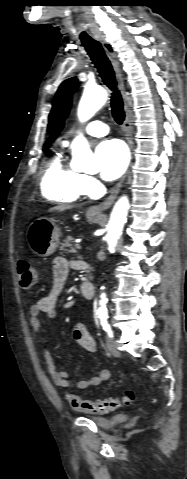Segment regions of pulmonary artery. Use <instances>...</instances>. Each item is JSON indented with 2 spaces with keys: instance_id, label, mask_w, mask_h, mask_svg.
<instances>
[{
  "instance_id": "1",
  "label": "pulmonary artery",
  "mask_w": 187,
  "mask_h": 479,
  "mask_svg": "<svg viewBox=\"0 0 187 479\" xmlns=\"http://www.w3.org/2000/svg\"><path fill=\"white\" fill-rule=\"evenodd\" d=\"M108 131V125L98 120L91 121L84 128L86 134L98 137L106 135Z\"/></svg>"
}]
</instances>
